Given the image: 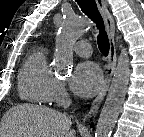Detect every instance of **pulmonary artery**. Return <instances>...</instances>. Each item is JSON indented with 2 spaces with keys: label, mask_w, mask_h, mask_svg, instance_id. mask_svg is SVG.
<instances>
[{
  "label": "pulmonary artery",
  "mask_w": 144,
  "mask_h": 137,
  "mask_svg": "<svg viewBox=\"0 0 144 137\" xmlns=\"http://www.w3.org/2000/svg\"><path fill=\"white\" fill-rule=\"evenodd\" d=\"M73 50L81 57H89L92 54L91 45L85 40L76 42L73 46Z\"/></svg>",
  "instance_id": "e3ab8cb5"
}]
</instances>
